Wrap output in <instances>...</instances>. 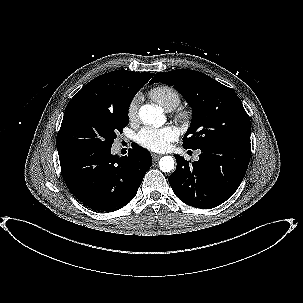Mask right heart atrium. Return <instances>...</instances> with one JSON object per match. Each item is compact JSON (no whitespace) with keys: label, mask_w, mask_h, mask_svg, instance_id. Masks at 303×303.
I'll return each instance as SVG.
<instances>
[{"label":"right heart atrium","mask_w":303,"mask_h":303,"mask_svg":"<svg viewBox=\"0 0 303 303\" xmlns=\"http://www.w3.org/2000/svg\"><path fill=\"white\" fill-rule=\"evenodd\" d=\"M139 103H140V97L135 96L128 104L127 116L130 121H134L137 119Z\"/></svg>","instance_id":"1"}]
</instances>
